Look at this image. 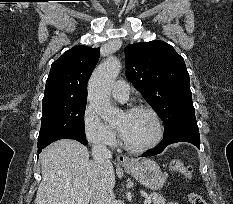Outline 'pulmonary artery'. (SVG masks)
Instances as JSON below:
<instances>
[{"label": "pulmonary artery", "instance_id": "obj_1", "mask_svg": "<svg viewBox=\"0 0 233 204\" xmlns=\"http://www.w3.org/2000/svg\"><path fill=\"white\" fill-rule=\"evenodd\" d=\"M112 95L118 101H127L129 97V85L124 80L116 81L112 86Z\"/></svg>", "mask_w": 233, "mask_h": 204}]
</instances>
